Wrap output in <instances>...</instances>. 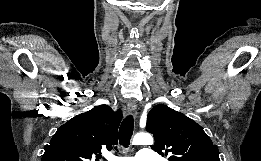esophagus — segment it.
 Segmentation results:
<instances>
[{
  "label": "esophagus",
  "instance_id": "1",
  "mask_svg": "<svg viewBox=\"0 0 261 161\" xmlns=\"http://www.w3.org/2000/svg\"><path fill=\"white\" fill-rule=\"evenodd\" d=\"M127 111L129 114L136 116L137 114V103L134 100H129L127 102Z\"/></svg>",
  "mask_w": 261,
  "mask_h": 161
}]
</instances>
